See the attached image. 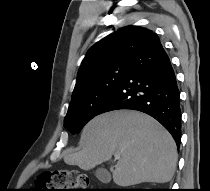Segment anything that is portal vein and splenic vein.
Listing matches in <instances>:
<instances>
[{
    "instance_id": "obj_1",
    "label": "portal vein and splenic vein",
    "mask_w": 210,
    "mask_h": 191,
    "mask_svg": "<svg viewBox=\"0 0 210 191\" xmlns=\"http://www.w3.org/2000/svg\"><path fill=\"white\" fill-rule=\"evenodd\" d=\"M114 157H115V159H119L120 158V154L119 153H115Z\"/></svg>"
}]
</instances>
